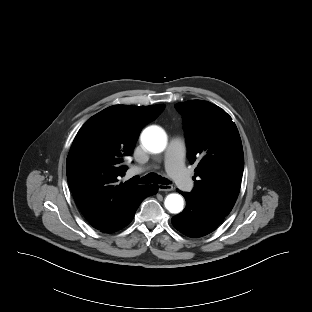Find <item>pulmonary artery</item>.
<instances>
[{
	"mask_svg": "<svg viewBox=\"0 0 312 312\" xmlns=\"http://www.w3.org/2000/svg\"><path fill=\"white\" fill-rule=\"evenodd\" d=\"M185 145L182 140L173 138L165 150V167L175 184L183 191L192 186V179L184 166Z\"/></svg>",
	"mask_w": 312,
	"mask_h": 312,
	"instance_id": "pulmonary-artery-1",
	"label": "pulmonary artery"
}]
</instances>
